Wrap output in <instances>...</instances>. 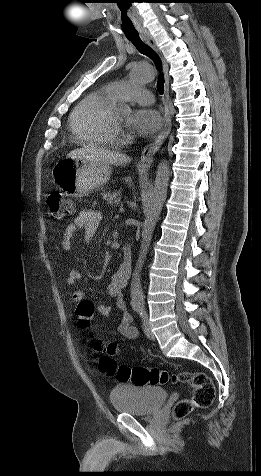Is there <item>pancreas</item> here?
Instances as JSON below:
<instances>
[{"label":"pancreas","instance_id":"pancreas-1","mask_svg":"<svg viewBox=\"0 0 261 476\" xmlns=\"http://www.w3.org/2000/svg\"><path fill=\"white\" fill-rule=\"evenodd\" d=\"M104 200H106L107 204L110 206H117L121 203V192L115 191L113 193L107 192L102 193Z\"/></svg>","mask_w":261,"mask_h":476}]
</instances>
